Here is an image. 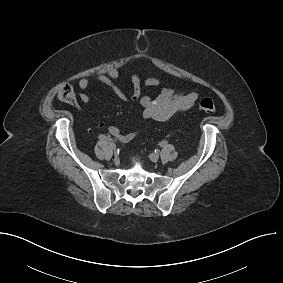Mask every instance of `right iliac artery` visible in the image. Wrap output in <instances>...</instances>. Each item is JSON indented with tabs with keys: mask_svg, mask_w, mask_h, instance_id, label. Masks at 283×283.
<instances>
[{
	"mask_svg": "<svg viewBox=\"0 0 283 283\" xmlns=\"http://www.w3.org/2000/svg\"><path fill=\"white\" fill-rule=\"evenodd\" d=\"M105 141H112L110 137L100 136Z\"/></svg>",
	"mask_w": 283,
	"mask_h": 283,
	"instance_id": "right-iliac-artery-1",
	"label": "right iliac artery"
}]
</instances>
